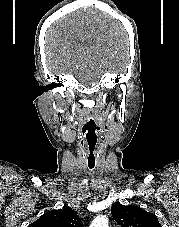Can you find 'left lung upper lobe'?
<instances>
[{"instance_id": "5c2ea615", "label": "left lung upper lobe", "mask_w": 179, "mask_h": 227, "mask_svg": "<svg viewBox=\"0 0 179 227\" xmlns=\"http://www.w3.org/2000/svg\"><path fill=\"white\" fill-rule=\"evenodd\" d=\"M112 214L121 227H161L156 215L138 206L116 202L112 205Z\"/></svg>"}]
</instances>
